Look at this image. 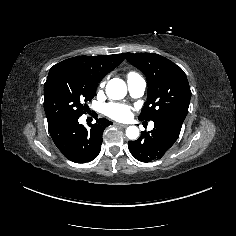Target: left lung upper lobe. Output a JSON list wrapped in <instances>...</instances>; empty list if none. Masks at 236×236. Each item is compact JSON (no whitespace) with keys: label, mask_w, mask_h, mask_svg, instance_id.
I'll use <instances>...</instances> for the list:
<instances>
[{"label":"left lung upper lobe","mask_w":236,"mask_h":236,"mask_svg":"<svg viewBox=\"0 0 236 236\" xmlns=\"http://www.w3.org/2000/svg\"><path fill=\"white\" fill-rule=\"evenodd\" d=\"M125 57L147 77V101L139 116L140 121H154L168 114L186 117L191 91L179 66L155 53H126Z\"/></svg>","instance_id":"1"}]
</instances>
